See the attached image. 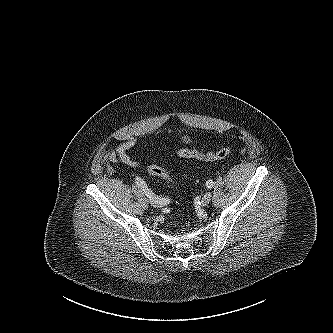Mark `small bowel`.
<instances>
[{
    "label": "small bowel",
    "instance_id": "small-bowel-1",
    "mask_svg": "<svg viewBox=\"0 0 333 333\" xmlns=\"http://www.w3.org/2000/svg\"><path fill=\"white\" fill-rule=\"evenodd\" d=\"M182 139L187 144L192 142L189 136H183ZM135 144L136 139L129 138L119 143L116 147L111 148L107 154L109 161L115 164L123 163L130 167H138L139 163L128 154V151L134 147Z\"/></svg>",
    "mask_w": 333,
    "mask_h": 333
}]
</instances>
